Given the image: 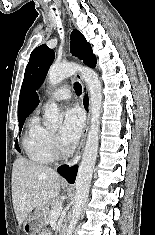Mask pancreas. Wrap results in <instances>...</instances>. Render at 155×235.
I'll use <instances>...</instances> for the list:
<instances>
[{"label":"pancreas","instance_id":"obj_1","mask_svg":"<svg viewBox=\"0 0 155 235\" xmlns=\"http://www.w3.org/2000/svg\"><path fill=\"white\" fill-rule=\"evenodd\" d=\"M58 203H59L58 200H53L49 204H47L43 207V214H44L45 222L49 223L50 218H51L52 207H54Z\"/></svg>","mask_w":155,"mask_h":235}]
</instances>
